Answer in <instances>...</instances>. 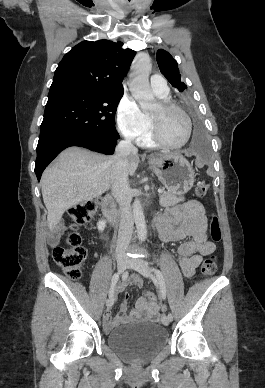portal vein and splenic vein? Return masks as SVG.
Instances as JSON below:
<instances>
[{
	"label": "portal vein and splenic vein",
	"mask_w": 265,
	"mask_h": 388,
	"mask_svg": "<svg viewBox=\"0 0 265 388\" xmlns=\"http://www.w3.org/2000/svg\"><path fill=\"white\" fill-rule=\"evenodd\" d=\"M93 186H98V184H93ZM158 194H163V190H158Z\"/></svg>",
	"instance_id": "obj_1"
}]
</instances>
